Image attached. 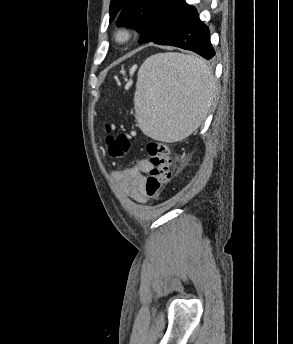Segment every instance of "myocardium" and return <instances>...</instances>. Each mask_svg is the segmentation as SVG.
Masks as SVG:
<instances>
[{
	"instance_id": "obj_1",
	"label": "myocardium",
	"mask_w": 293,
	"mask_h": 344,
	"mask_svg": "<svg viewBox=\"0 0 293 344\" xmlns=\"http://www.w3.org/2000/svg\"><path fill=\"white\" fill-rule=\"evenodd\" d=\"M131 37L132 33L127 27H119L114 33V38L119 43L128 42Z\"/></svg>"
}]
</instances>
